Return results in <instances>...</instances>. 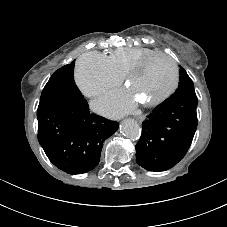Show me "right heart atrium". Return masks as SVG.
<instances>
[{
  "instance_id": "d8ad5b80",
  "label": "right heart atrium",
  "mask_w": 227,
  "mask_h": 227,
  "mask_svg": "<svg viewBox=\"0 0 227 227\" xmlns=\"http://www.w3.org/2000/svg\"><path fill=\"white\" fill-rule=\"evenodd\" d=\"M75 81L85 96L97 97L119 85L122 77L113 70L106 55L97 51H87L76 63Z\"/></svg>"
}]
</instances>
